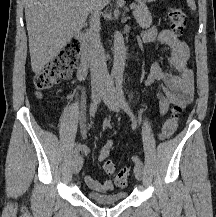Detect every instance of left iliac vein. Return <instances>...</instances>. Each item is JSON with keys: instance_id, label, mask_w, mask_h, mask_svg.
Returning a JSON list of instances; mask_svg holds the SVG:
<instances>
[{"instance_id": "1", "label": "left iliac vein", "mask_w": 216, "mask_h": 217, "mask_svg": "<svg viewBox=\"0 0 216 217\" xmlns=\"http://www.w3.org/2000/svg\"><path fill=\"white\" fill-rule=\"evenodd\" d=\"M103 101L105 102V104L114 112H118L120 109V102H119V98L117 95V92L115 90V87L113 85L112 82H110L105 90H104V94L102 96ZM134 174L135 177L138 180H142L143 177V167L141 164H135L134 166Z\"/></svg>"}]
</instances>
